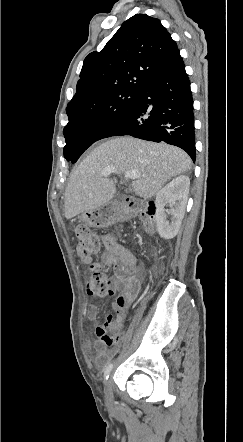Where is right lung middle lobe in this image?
Here are the masks:
<instances>
[{
	"label": "right lung middle lobe",
	"instance_id": "1",
	"mask_svg": "<svg viewBox=\"0 0 243 442\" xmlns=\"http://www.w3.org/2000/svg\"><path fill=\"white\" fill-rule=\"evenodd\" d=\"M140 91L109 96L89 109L72 113L64 127V157L75 163L81 154L129 111Z\"/></svg>",
	"mask_w": 243,
	"mask_h": 442
}]
</instances>
